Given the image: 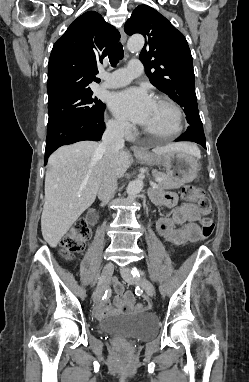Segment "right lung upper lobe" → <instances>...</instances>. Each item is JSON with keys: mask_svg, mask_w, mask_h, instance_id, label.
<instances>
[{"mask_svg": "<svg viewBox=\"0 0 249 382\" xmlns=\"http://www.w3.org/2000/svg\"><path fill=\"white\" fill-rule=\"evenodd\" d=\"M120 39L115 27L97 12L82 14L54 44L48 63V103L60 98L90 91L112 46Z\"/></svg>", "mask_w": 249, "mask_h": 382, "instance_id": "right-lung-upper-lobe-1", "label": "right lung upper lobe"}]
</instances>
